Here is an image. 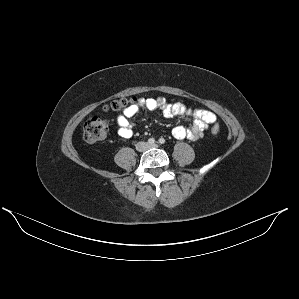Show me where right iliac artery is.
<instances>
[{"label": "right iliac artery", "mask_w": 299, "mask_h": 299, "mask_svg": "<svg viewBox=\"0 0 299 299\" xmlns=\"http://www.w3.org/2000/svg\"><path fill=\"white\" fill-rule=\"evenodd\" d=\"M148 143H149L150 145L154 144V143H155V139H154V138H149V139H148Z\"/></svg>", "instance_id": "82829eb1"}]
</instances>
